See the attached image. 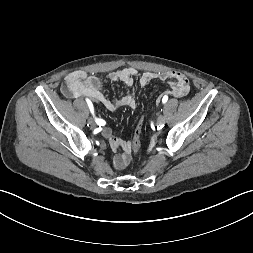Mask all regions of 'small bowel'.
<instances>
[{
	"instance_id": "1",
	"label": "small bowel",
	"mask_w": 253,
	"mask_h": 253,
	"mask_svg": "<svg viewBox=\"0 0 253 253\" xmlns=\"http://www.w3.org/2000/svg\"><path fill=\"white\" fill-rule=\"evenodd\" d=\"M109 79L112 82H122L127 86H132L136 80L141 86H146L154 80L167 81L171 88L169 94L177 98L186 96L190 90L187 77L178 71L145 72L140 74L133 67H125L111 72ZM102 86V81L98 77L88 75L85 71L77 70L65 77L62 92L69 98L86 97L93 102L101 103L111 112H116L121 107L136 108L134 91L111 100L102 92ZM102 135L109 146L117 152L113 161L115 169L121 170L125 168L129 162L130 142L113 136L109 128H104Z\"/></svg>"
}]
</instances>
